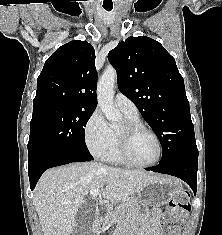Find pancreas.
<instances>
[{
  "mask_svg": "<svg viewBox=\"0 0 222 235\" xmlns=\"http://www.w3.org/2000/svg\"><path fill=\"white\" fill-rule=\"evenodd\" d=\"M135 211V201L133 199H129L119 204L112 203L109 205L107 214L93 224V230H101L103 227H106L112 224L115 220H118L120 216H129L134 214Z\"/></svg>",
  "mask_w": 222,
  "mask_h": 235,
  "instance_id": "obj_1",
  "label": "pancreas"
}]
</instances>
